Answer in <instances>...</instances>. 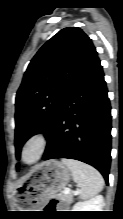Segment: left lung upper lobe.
Returning <instances> with one entry per match:
<instances>
[{
    "instance_id": "1",
    "label": "left lung upper lobe",
    "mask_w": 123,
    "mask_h": 219,
    "mask_svg": "<svg viewBox=\"0 0 123 219\" xmlns=\"http://www.w3.org/2000/svg\"><path fill=\"white\" fill-rule=\"evenodd\" d=\"M97 58L91 39L80 29L67 27L47 41L33 57L16 95L15 147L44 131L47 138L73 85Z\"/></svg>"
}]
</instances>
